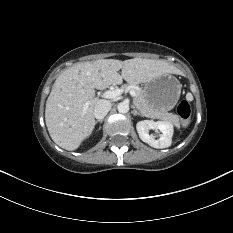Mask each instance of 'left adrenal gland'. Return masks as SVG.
<instances>
[{
  "instance_id": "a2214340",
  "label": "left adrenal gland",
  "mask_w": 233,
  "mask_h": 233,
  "mask_svg": "<svg viewBox=\"0 0 233 233\" xmlns=\"http://www.w3.org/2000/svg\"><path fill=\"white\" fill-rule=\"evenodd\" d=\"M132 113H133V115H139V116H142V117H143V115H142L141 113H139V112L135 109L134 106H133V111H132Z\"/></svg>"
}]
</instances>
